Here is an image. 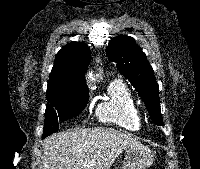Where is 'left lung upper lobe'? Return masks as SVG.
I'll use <instances>...</instances> for the list:
<instances>
[{
  "label": "left lung upper lobe",
  "mask_w": 200,
  "mask_h": 169,
  "mask_svg": "<svg viewBox=\"0 0 200 169\" xmlns=\"http://www.w3.org/2000/svg\"><path fill=\"white\" fill-rule=\"evenodd\" d=\"M106 54L116 63L120 73L138 90L140 97L145 101L152 121L157 125H163L159 88L154 71L135 40L124 35L112 38L108 43Z\"/></svg>",
  "instance_id": "1"
}]
</instances>
